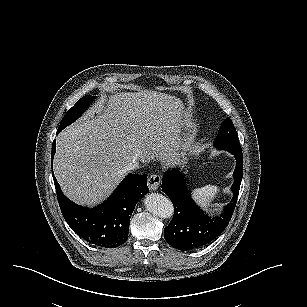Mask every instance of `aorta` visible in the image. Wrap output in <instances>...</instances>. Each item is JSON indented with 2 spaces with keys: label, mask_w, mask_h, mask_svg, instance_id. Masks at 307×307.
<instances>
[{
  "label": "aorta",
  "mask_w": 307,
  "mask_h": 307,
  "mask_svg": "<svg viewBox=\"0 0 307 307\" xmlns=\"http://www.w3.org/2000/svg\"><path fill=\"white\" fill-rule=\"evenodd\" d=\"M145 208L151 214L160 218H171L174 213V207L170 199L162 194L150 193L144 199Z\"/></svg>",
  "instance_id": "aorta-1"
}]
</instances>
